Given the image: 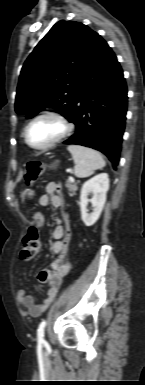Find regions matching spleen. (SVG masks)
I'll use <instances>...</instances> for the list:
<instances>
[{
  "label": "spleen",
  "instance_id": "obj_1",
  "mask_svg": "<svg viewBox=\"0 0 145 385\" xmlns=\"http://www.w3.org/2000/svg\"><path fill=\"white\" fill-rule=\"evenodd\" d=\"M67 149L75 162L74 174L79 178L89 177L95 170L106 165L102 155L96 150L81 145H69Z\"/></svg>",
  "mask_w": 145,
  "mask_h": 385
}]
</instances>
